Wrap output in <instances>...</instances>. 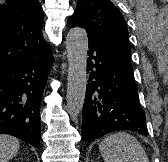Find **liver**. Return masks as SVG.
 Instances as JSON below:
<instances>
[{"instance_id":"obj_1","label":"liver","mask_w":168,"mask_h":162,"mask_svg":"<svg viewBox=\"0 0 168 162\" xmlns=\"http://www.w3.org/2000/svg\"><path fill=\"white\" fill-rule=\"evenodd\" d=\"M20 148V142L17 138L0 134V162H9Z\"/></svg>"}]
</instances>
